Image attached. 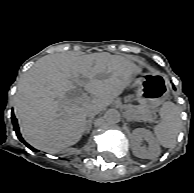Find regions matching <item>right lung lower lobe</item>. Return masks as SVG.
I'll list each match as a JSON object with an SVG mask.
<instances>
[{
	"instance_id": "obj_1",
	"label": "right lung lower lobe",
	"mask_w": 194,
	"mask_h": 193,
	"mask_svg": "<svg viewBox=\"0 0 194 193\" xmlns=\"http://www.w3.org/2000/svg\"><path fill=\"white\" fill-rule=\"evenodd\" d=\"M11 118H12V121H13L14 130H15V132H16L18 138L20 139V141H22V142H23L28 148H30L32 151H37L36 149H34L33 147H31L29 144H27V143L23 140V138L21 137L20 132H19V128H18L17 119L15 118L13 111H12Z\"/></svg>"
}]
</instances>
